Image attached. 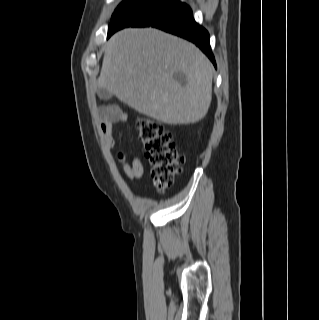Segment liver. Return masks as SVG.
<instances>
[{
    "label": "liver",
    "mask_w": 319,
    "mask_h": 320,
    "mask_svg": "<svg viewBox=\"0 0 319 320\" xmlns=\"http://www.w3.org/2000/svg\"><path fill=\"white\" fill-rule=\"evenodd\" d=\"M213 71L207 57L184 39L154 28H126L108 41L97 85L157 121L192 124L210 107ZM177 72L186 85L174 79Z\"/></svg>",
    "instance_id": "liver-1"
}]
</instances>
